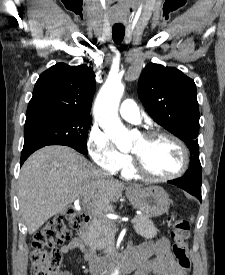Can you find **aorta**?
<instances>
[{
	"mask_svg": "<svg viewBox=\"0 0 225 275\" xmlns=\"http://www.w3.org/2000/svg\"><path fill=\"white\" fill-rule=\"evenodd\" d=\"M124 93V85L119 80L108 79L100 89L94 104V116L106 135L120 149L132 147L133 136L118 116V107ZM116 270L113 275H118Z\"/></svg>",
	"mask_w": 225,
	"mask_h": 275,
	"instance_id": "aorta-1",
	"label": "aorta"
}]
</instances>
